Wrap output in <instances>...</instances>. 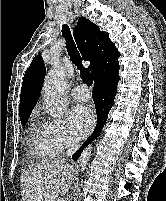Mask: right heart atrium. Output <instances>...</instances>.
Wrapping results in <instances>:
<instances>
[{"label":"right heart atrium","instance_id":"1","mask_svg":"<svg viewBox=\"0 0 166 201\" xmlns=\"http://www.w3.org/2000/svg\"><path fill=\"white\" fill-rule=\"evenodd\" d=\"M45 125L49 141L58 154L76 145L67 124L63 120L51 119Z\"/></svg>","mask_w":166,"mask_h":201}]
</instances>
